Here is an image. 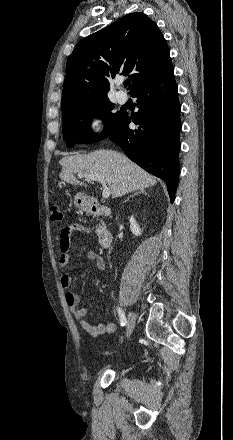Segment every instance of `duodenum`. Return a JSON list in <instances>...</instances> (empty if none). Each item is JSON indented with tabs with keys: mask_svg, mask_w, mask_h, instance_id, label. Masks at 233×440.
<instances>
[{
	"mask_svg": "<svg viewBox=\"0 0 233 440\" xmlns=\"http://www.w3.org/2000/svg\"><path fill=\"white\" fill-rule=\"evenodd\" d=\"M111 212L112 211L109 207L98 203L94 204L90 208V214L93 216H108L111 214ZM112 240V234L108 230L100 228L98 233V241L100 246L103 248H108L111 246Z\"/></svg>",
	"mask_w": 233,
	"mask_h": 440,
	"instance_id": "410a0bca",
	"label": "duodenum"
}]
</instances>
